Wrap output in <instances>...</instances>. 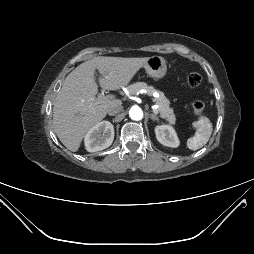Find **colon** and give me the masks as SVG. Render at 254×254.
I'll use <instances>...</instances> for the list:
<instances>
[{
  "instance_id": "5ec220e1",
  "label": "colon",
  "mask_w": 254,
  "mask_h": 254,
  "mask_svg": "<svg viewBox=\"0 0 254 254\" xmlns=\"http://www.w3.org/2000/svg\"><path fill=\"white\" fill-rule=\"evenodd\" d=\"M201 75L197 72H189L187 75V83L192 86L196 87L201 83ZM204 103L201 100H196L192 103V109L196 115L202 114L204 110Z\"/></svg>"
}]
</instances>
